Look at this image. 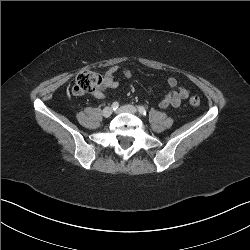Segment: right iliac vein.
Masks as SVG:
<instances>
[{
  "mask_svg": "<svg viewBox=\"0 0 250 250\" xmlns=\"http://www.w3.org/2000/svg\"><path fill=\"white\" fill-rule=\"evenodd\" d=\"M113 113V109L111 107H105L102 111L104 117H110Z\"/></svg>",
  "mask_w": 250,
  "mask_h": 250,
  "instance_id": "obj_1",
  "label": "right iliac vein"
}]
</instances>
